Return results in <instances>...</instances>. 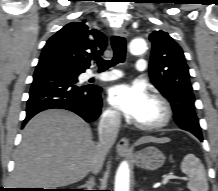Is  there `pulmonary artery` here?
I'll use <instances>...</instances> for the list:
<instances>
[{
    "label": "pulmonary artery",
    "mask_w": 218,
    "mask_h": 191,
    "mask_svg": "<svg viewBox=\"0 0 218 191\" xmlns=\"http://www.w3.org/2000/svg\"><path fill=\"white\" fill-rule=\"evenodd\" d=\"M147 63L146 60L143 58H140L137 60L136 62V70L137 71H143L146 69ZM122 75L119 71L113 70L111 72H107V73H102V74H90L88 77L89 78H96L102 81H112V80H116L118 78H120Z\"/></svg>",
    "instance_id": "1"
}]
</instances>
